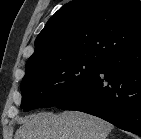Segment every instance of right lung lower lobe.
Instances as JSON below:
<instances>
[{"label": "right lung lower lobe", "instance_id": "obj_1", "mask_svg": "<svg viewBox=\"0 0 141 139\" xmlns=\"http://www.w3.org/2000/svg\"><path fill=\"white\" fill-rule=\"evenodd\" d=\"M55 107L95 115L141 136V43L110 55L88 83Z\"/></svg>", "mask_w": 141, "mask_h": 139}]
</instances>
